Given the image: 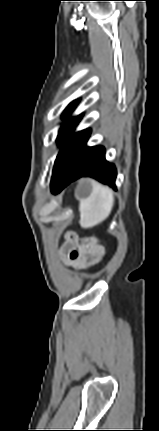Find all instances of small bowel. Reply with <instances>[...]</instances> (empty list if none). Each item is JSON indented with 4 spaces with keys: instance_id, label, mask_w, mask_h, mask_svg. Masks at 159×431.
Instances as JSON below:
<instances>
[{
    "instance_id": "c3829d8e",
    "label": "small bowel",
    "mask_w": 159,
    "mask_h": 431,
    "mask_svg": "<svg viewBox=\"0 0 159 431\" xmlns=\"http://www.w3.org/2000/svg\"><path fill=\"white\" fill-rule=\"evenodd\" d=\"M105 243L103 236L92 239H80L75 234H68L66 263L75 269H87L97 264L104 256L105 250L101 246Z\"/></svg>"
}]
</instances>
